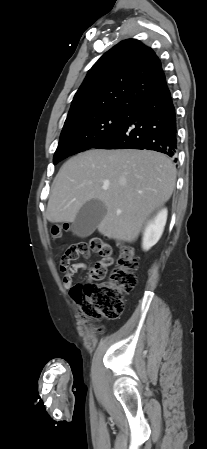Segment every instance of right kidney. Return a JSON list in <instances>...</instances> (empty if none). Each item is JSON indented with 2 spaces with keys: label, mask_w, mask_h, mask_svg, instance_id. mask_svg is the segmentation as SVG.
<instances>
[{
  "label": "right kidney",
  "mask_w": 207,
  "mask_h": 449,
  "mask_svg": "<svg viewBox=\"0 0 207 449\" xmlns=\"http://www.w3.org/2000/svg\"><path fill=\"white\" fill-rule=\"evenodd\" d=\"M167 220V209L160 210L157 215L151 220L143 234L142 247L145 251L154 246L162 236Z\"/></svg>",
  "instance_id": "right-kidney-1"
}]
</instances>
